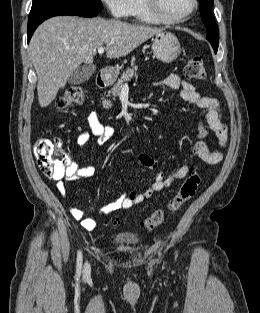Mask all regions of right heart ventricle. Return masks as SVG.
<instances>
[{
    "label": "right heart ventricle",
    "mask_w": 260,
    "mask_h": 313,
    "mask_svg": "<svg viewBox=\"0 0 260 313\" xmlns=\"http://www.w3.org/2000/svg\"><path fill=\"white\" fill-rule=\"evenodd\" d=\"M130 15L133 16L137 21L147 24L157 23L147 13L142 0H132L130 7Z\"/></svg>",
    "instance_id": "right-heart-ventricle-1"
}]
</instances>
